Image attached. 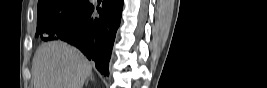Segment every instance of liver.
I'll return each instance as SVG.
<instances>
[{
	"mask_svg": "<svg viewBox=\"0 0 267 88\" xmlns=\"http://www.w3.org/2000/svg\"><path fill=\"white\" fill-rule=\"evenodd\" d=\"M32 70L34 88H82L92 66L75 47L53 41L38 47Z\"/></svg>",
	"mask_w": 267,
	"mask_h": 88,
	"instance_id": "obj_1",
	"label": "liver"
}]
</instances>
